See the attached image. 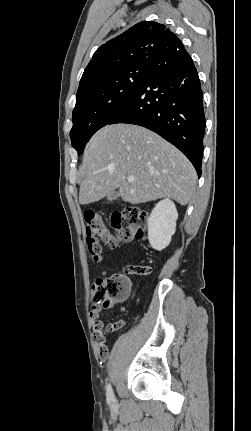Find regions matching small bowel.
Masks as SVG:
<instances>
[{"label": "small bowel", "mask_w": 251, "mask_h": 431, "mask_svg": "<svg viewBox=\"0 0 251 431\" xmlns=\"http://www.w3.org/2000/svg\"><path fill=\"white\" fill-rule=\"evenodd\" d=\"M146 273L148 274L150 272V268L145 267ZM103 275H106V271L102 272ZM102 311L101 306H92L90 311V321L92 325V329L94 331V338L97 344L99 345V352L98 357L101 362H108L110 360V355L108 354L110 352V347L105 346V334L113 331L118 328H111L110 326L105 327L104 322L99 318L100 312Z\"/></svg>", "instance_id": "obj_1"}]
</instances>
